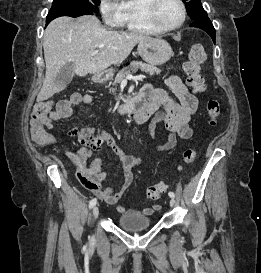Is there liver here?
Masks as SVG:
<instances>
[{
	"mask_svg": "<svg viewBox=\"0 0 261 273\" xmlns=\"http://www.w3.org/2000/svg\"><path fill=\"white\" fill-rule=\"evenodd\" d=\"M150 37L136 32H117L105 29L93 15L77 19L59 17L46 28L43 37L46 74L37 102L51 98L66 85L55 82L60 69L74 64L78 76L103 73L111 65L121 64L137 43ZM99 49L98 54L91 53Z\"/></svg>",
	"mask_w": 261,
	"mask_h": 273,
	"instance_id": "obj_1",
	"label": "liver"
}]
</instances>
